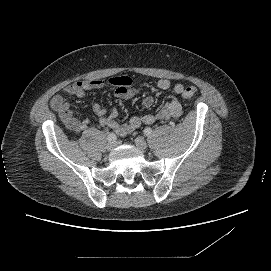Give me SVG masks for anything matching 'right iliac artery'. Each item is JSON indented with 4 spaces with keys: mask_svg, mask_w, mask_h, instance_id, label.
Returning a JSON list of instances; mask_svg holds the SVG:
<instances>
[{
    "mask_svg": "<svg viewBox=\"0 0 271 271\" xmlns=\"http://www.w3.org/2000/svg\"><path fill=\"white\" fill-rule=\"evenodd\" d=\"M107 139H108L109 142L110 141H115L116 140V135L113 132H111V133L108 134Z\"/></svg>",
    "mask_w": 271,
    "mask_h": 271,
    "instance_id": "1",
    "label": "right iliac artery"
}]
</instances>
